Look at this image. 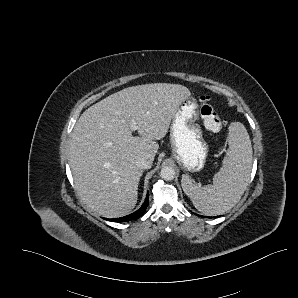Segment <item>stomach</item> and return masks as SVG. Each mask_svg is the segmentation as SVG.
<instances>
[{"label": "stomach", "mask_w": 298, "mask_h": 298, "mask_svg": "<svg viewBox=\"0 0 298 298\" xmlns=\"http://www.w3.org/2000/svg\"><path fill=\"white\" fill-rule=\"evenodd\" d=\"M198 118L199 105L193 96L183 99L172 115L169 129L172 155L185 171H200L208 156Z\"/></svg>", "instance_id": "obj_1"}]
</instances>
